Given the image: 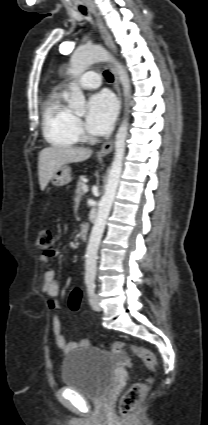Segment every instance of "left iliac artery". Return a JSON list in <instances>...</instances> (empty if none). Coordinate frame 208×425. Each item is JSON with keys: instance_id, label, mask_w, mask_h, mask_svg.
<instances>
[{"instance_id": "obj_1", "label": "left iliac artery", "mask_w": 208, "mask_h": 425, "mask_svg": "<svg viewBox=\"0 0 208 425\" xmlns=\"http://www.w3.org/2000/svg\"><path fill=\"white\" fill-rule=\"evenodd\" d=\"M87 292L89 296L94 294V290L96 287L95 280L93 278L86 280Z\"/></svg>"}]
</instances>
